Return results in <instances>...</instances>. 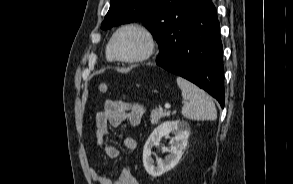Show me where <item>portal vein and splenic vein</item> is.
I'll use <instances>...</instances> for the list:
<instances>
[{"instance_id": "1", "label": "portal vein and splenic vein", "mask_w": 293, "mask_h": 184, "mask_svg": "<svg viewBox=\"0 0 293 184\" xmlns=\"http://www.w3.org/2000/svg\"><path fill=\"white\" fill-rule=\"evenodd\" d=\"M164 107H165V109H170L171 105L169 103H166Z\"/></svg>"}]
</instances>
